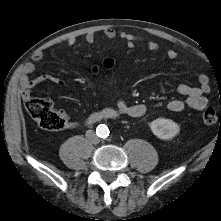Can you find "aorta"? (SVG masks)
<instances>
[{
	"instance_id": "762f6f07",
	"label": "aorta",
	"mask_w": 221,
	"mask_h": 221,
	"mask_svg": "<svg viewBox=\"0 0 221 221\" xmlns=\"http://www.w3.org/2000/svg\"><path fill=\"white\" fill-rule=\"evenodd\" d=\"M96 132L101 138H106L109 135V129L105 124L99 125Z\"/></svg>"
}]
</instances>
